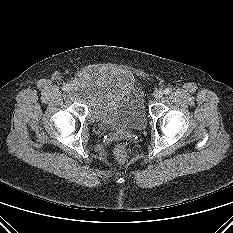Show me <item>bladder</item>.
<instances>
[{"label":"bladder","instance_id":"bladder-1","mask_svg":"<svg viewBox=\"0 0 233 233\" xmlns=\"http://www.w3.org/2000/svg\"><path fill=\"white\" fill-rule=\"evenodd\" d=\"M88 105L89 119L105 130H141L147 115L132 74L103 67L85 69L71 85Z\"/></svg>","mask_w":233,"mask_h":233}]
</instances>
